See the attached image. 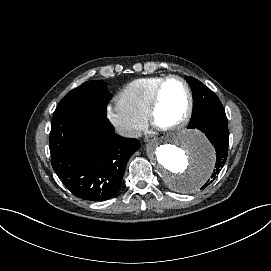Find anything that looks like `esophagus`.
<instances>
[{
  "label": "esophagus",
  "mask_w": 271,
  "mask_h": 271,
  "mask_svg": "<svg viewBox=\"0 0 271 271\" xmlns=\"http://www.w3.org/2000/svg\"><path fill=\"white\" fill-rule=\"evenodd\" d=\"M158 140L157 136L154 134L147 135L144 139L146 143H156Z\"/></svg>",
  "instance_id": "esophagus-1"
}]
</instances>
